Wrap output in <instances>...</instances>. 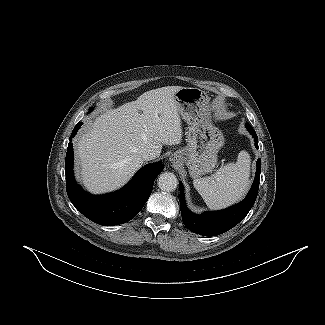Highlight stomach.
Returning <instances> with one entry per match:
<instances>
[{
    "label": "stomach",
    "instance_id": "0dacf381",
    "mask_svg": "<svg viewBox=\"0 0 325 325\" xmlns=\"http://www.w3.org/2000/svg\"><path fill=\"white\" fill-rule=\"evenodd\" d=\"M209 100L199 88L182 87L175 94L179 115L189 125L187 145L175 154L188 167L192 178L214 169L217 153L224 145L222 132L212 123Z\"/></svg>",
    "mask_w": 325,
    "mask_h": 325
}]
</instances>
